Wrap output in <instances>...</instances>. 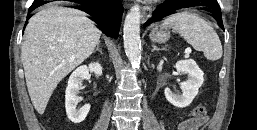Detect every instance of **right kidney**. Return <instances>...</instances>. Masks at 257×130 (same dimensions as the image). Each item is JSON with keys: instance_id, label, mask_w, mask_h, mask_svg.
I'll use <instances>...</instances> for the list:
<instances>
[{"instance_id": "right-kidney-1", "label": "right kidney", "mask_w": 257, "mask_h": 130, "mask_svg": "<svg viewBox=\"0 0 257 130\" xmlns=\"http://www.w3.org/2000/svg\"><path fill=\"white\" fill-rule=\"evenodd\" d=\"M90 71L94 72L97 77L102 75V67L96 62L89 64L88 67L85 65L78 67L68 80L65 91V108L68 119L74 124L84 121L90 110V104H85L82 108L76 109L78 102L81 100L78 96L80 86L82 81L88 78Z\"/></svg>"}]
</instances>
